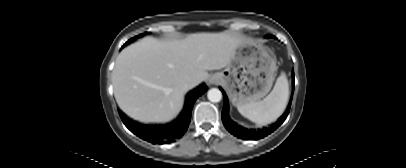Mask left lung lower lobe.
<instances>
[{
	"label": "left lung lower lobe",
	"mask_w": 406,
	"mask_h": 168,
	"mask_svg": "<svg viewBox=\"0 0 406 168\" xmlns=\"http://www.w3.org/2000/svg\"><path fill=\"white\" fill-rule=\"evenodd\" d=\"M292 87L294 90V72H292ZM223 95H224V107L222 110V121L223 124L225 126V128L234 136H238L241 139H245V140H258L261 139L265 136H267L268 134L272 133L274 130H276L278 128V126L280 124H282L286 117L289 114V110L291 107V103H292V97L290 99L289 105L285 111V113L278 119V122L273 124L270 128H263L262 130H258L256 132L248 130L247 128H243L240 125H238L237 123H235L234 121H232L228 115V110H229V105H228V99L227 96L225 94V92L221 89Z\"/></svg>",
	"instance_id": "1"
}]
</instances>
